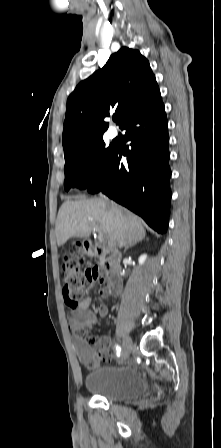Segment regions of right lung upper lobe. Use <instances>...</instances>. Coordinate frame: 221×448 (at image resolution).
<instances>
[{
	"label": "right lung upper lobe",
	"mask_w": 221,
	"mask_h": 448,
	"mask_svg": "<svg viewBox=\"0 0 221 448\" xmlns=\"http://www.w3.org/2000/svg\"><path fill=\"white\" fill-rule=\"evenodd\" d=\"M160 93L148 60L138 50L122 47L106 65L80 82L67 100L63 131L65 158L102 138L111 110L117 123Z\"/></svg>",
	"instance_id": "right-lung-upper-lobe-1"
}]
</instances>
